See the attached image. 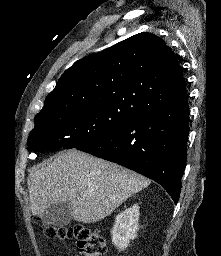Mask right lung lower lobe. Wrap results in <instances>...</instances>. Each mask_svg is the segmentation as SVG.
Here are the masks:
<instances>
[{
    "label": "right lung lower lobe",
    "instance_id": "right-lung-lower-lobe-1",
    "mask_svg": "<svg viewBox=\"0 0 221 256\" xmlns=\"http://www.w3.org/2000/svg\"><path fill=\"white\" fill-rule=\"evenodd\" d=\"M188 100L148 111L76 149L159 183L178 202L187 156Z\"/></svg>",
    "mask_w": 221,
    "mask_h": 256
}]
</instances>
